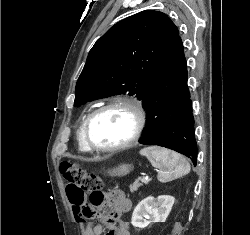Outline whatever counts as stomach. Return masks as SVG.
<instances>
[{"instance_id": "0dacf381", "label": "stomach", "mask_w": 250, "mask_h": 235, "mask_svg": "<svg viewBox=\"0 0 250 235\" xmlns=\"http://www.w3.org/2000/svg\"><path fill=\"white\" fill-rule=\"evenodd\" d=\"M133 169V167L129 164H122L119 165L118 167L111 169L108 171V175L110 176H125L127 175L131 170Z\"/></svg>"}]
</instances>
